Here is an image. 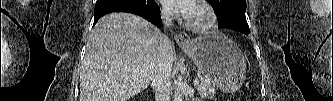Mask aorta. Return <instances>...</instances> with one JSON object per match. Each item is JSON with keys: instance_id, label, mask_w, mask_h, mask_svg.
Instances as JSON below:
<instances>
[{"instance_id": "1", "label": "aorta", "mask_w": 333, "mask_h": 101, "mask_svg": "<svg viewBox=\"0 0 333 101\" xmlns=\"http://www.w3.org/2000/svg\"><path fill=\"white\" fill-rule=\"evenodd\" d=\"M173 101H182V95L178 91L174 94Z\"/></svg>"}]
</instances>
